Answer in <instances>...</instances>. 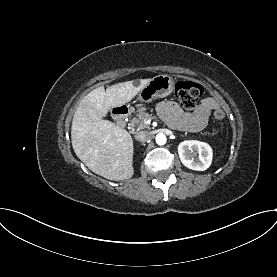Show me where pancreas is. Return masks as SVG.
<instances>
[{
  "instance_id": "cf45deb5",
  "label": "pancreas",
  "mask_w": 277,
  "mask_h": 277,
  "mask_svg": "<svg viewBox=\"0 0 277 277\" xmlns=\"http://www.w3.org/2000/svg\"><path fill=\"white\" fill-rule=\"evenodd\" d=\"M150 118L148 112H146L145 107H138L136 117H134L131 121V124H136L138 129H144L147 127L146 122Z\"/></svg>"
}]
</instances>
